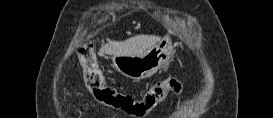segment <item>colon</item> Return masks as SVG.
Returning <instances> with one entry per match:
<instances>
[{"mask_svg":"<svg viewBox=\"0 0 273 118\" xmlns=\"http://www.w3.org/2000/svg\"><path fill=\"white\" fill-rule=\"evenodd\" d=\"M79 55L86 86L94 98L132 117L146 116L169 93L180 94L184 90L182 82L176 77H171L153 85L142 98L135 99L131 95L120 94L105 84L104 76L97 67L92 44H84L79 50Z\"/></svg>","mask_w":273,"mask_h":118,"instance_id":"colon-1","label":"colon"}]
</instances>
